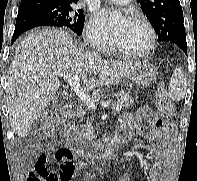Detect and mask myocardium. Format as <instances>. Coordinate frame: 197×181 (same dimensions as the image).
I'll use <instances>...</instances> for the list:
<instances>
[{"label": "myocardium", "instance_id": "1", "mask_svg": "<svg viewBox=\"0 0 197 181\" xmlns=\"http://www.w3.org/2000/svg\"><path fill=\"white\" fill-rule=\"evenodd\" d=\"M131 21L142 24L148 30L149 35H150L149 45L147 46V48L145 50H143L141 52H132V51L122 48L117 43V41L115 39L113 42V49L115 52L119 53L122 56L128 57V58H134V59L145 58L148 55H150L156 47L157 33H156L153 25L147 19H145L141 16L135 15L131 18Z\"/></svg>", "mask_w": 197, "mask_h": 181}]
</instances>
